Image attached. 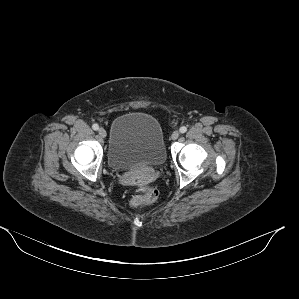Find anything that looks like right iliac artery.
Returning a JSON list of instances; mask_svg holds the SVG:
<instances>
[{"label":"right iliac artery","instance_id":"right-iliac-artery-1","mask_svg":"<svg viewBox=\"0 0 299 299\" xmlns=\"http://www.w3.org/2000/svg\"><path fill=\"white\" fill-rule=\"evenodd\" d=\"M92 128H93V130H98L99 129V125L98 124H93V126H92Z\"/></svg>","mask_w":299,"mask_h":299}]
</instances>
